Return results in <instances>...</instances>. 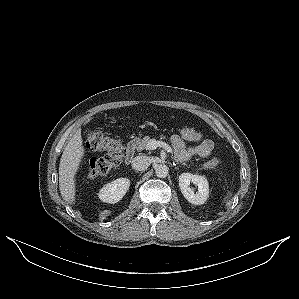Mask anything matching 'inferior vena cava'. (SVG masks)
Masks as SVG:
<instances>
[{
  "mask_svg": "<svg viewBox=\"0 0 299 299\" xmlns=\"http://www.w3.org/2000/svg\"><path fill=\"white\" fill-rule=\"evenodd\" d=\"M150 165L149 158L147 156H136L132 160V168L137 171H143Z\"/></svg>",
  "mask_w": 299,
  "mask_h": 299,
  "instance_id": "1",
  "label": "inferior vena cava"
}]
</instances>
